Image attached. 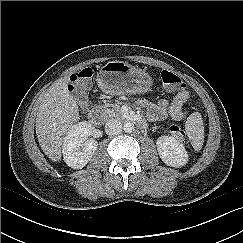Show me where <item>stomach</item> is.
Masks as SVG:
<instances>
[{
	"mask_svg": "<svg viewBox=\"0 0 243 243\" xmlns=\"http://www.w3.org/2000/svg\"><path fill=\"white\" fill-rule=\"evenodd\" d=\"M100 89L111 95L145 93L152 85L149 74L122 61H109L97 74Z\"/></svg>",
	"mask_w": 243,
	"mask_h": 243,
	"instance_id": "obj_1",
	"label": "stomach"
}]
</instances>
